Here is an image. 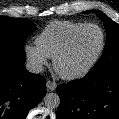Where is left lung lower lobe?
Listing matches in <instances>:
<instances>
[{
  "instance_id": "left-lung-lower-lobe-1",
  "label": "left lung lower lobe",
  "mask_w": 119,
  "mask_h": 119,
  "mask_svg": "<svg viewBox=\"0 0 119 119\" xmlns=\"http://www.w3.org/2000/svg\"><path fill=\"white\" fill-rule=\"evenodd\" d=\"M57 119H119V65L57 87Z\"/></svg>"
}]
</instances>
